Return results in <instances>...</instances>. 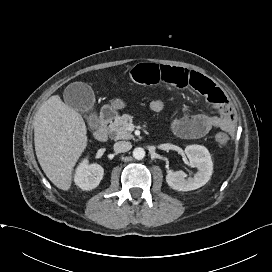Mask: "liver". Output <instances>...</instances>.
Returning a JSON list of instances; mask_svg holds the SVG:
<instances>
[{
  "label": "liver",
  "mask_w": 272,
  "mask_h": 272,
  "mask_svg": "<svg viewBox=\"0 0 272 272\" xmlns=\"http://www.w3.org/2000/svg\"><path fill=\"white\" fill-rule=\"evenodd\" d=\"M87 129L82 116L51 96L34 119L36 156L44 173L59 189L71 187L74 166L87 146Z\"/></svg>",
  "instance_id": "6515ba94"
}]
</instances>
